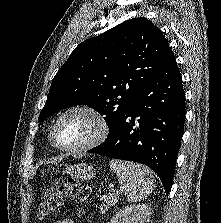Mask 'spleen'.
<instances>
[{"mask_svg":"<svg viewBox=\"0 0 221 223\" xmlns=\"http://www.w3.org/2000/svg\"><path fill=\"white\" fill-rule=\"evenodd\" d=\"M110 168L118 176L127 201L138 202L153 191L155 179L149 168L122 160H111Z\"/></svg>","mask_w":221,"mask_h":223,"instance_id":"1","label":"spleen"}]
</instances>
